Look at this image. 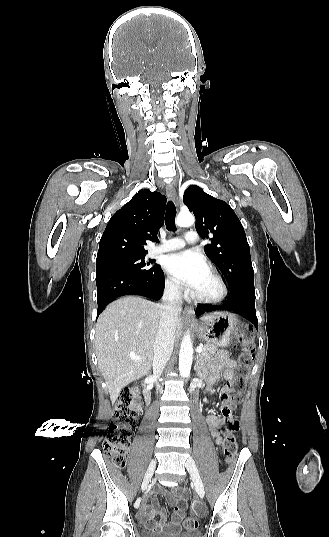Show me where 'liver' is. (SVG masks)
Masks as SVG:
<instances>
[{
  "mask_svg": "<svg viewBox=\"0 0 329 537\" xmlns=\"http://www.w3.org/2000/svg\"><path fill=\"white\" fill-rule=\"evenodd\" d=\"M160 316L159 304L136 296L114 301L99 316L95 336L96 355L113 403L122 388L149 373ZM210 319V316L202 318L205 321ZM176 327L179 331V318ZM130 354L143 360L133 361L129 358Z\"/></svg>",
  "mask_w": 329,
  "mask_h": 537,
  "instance_id": "obj_1",
  "label": "liver"
}]
</instances>
